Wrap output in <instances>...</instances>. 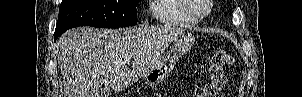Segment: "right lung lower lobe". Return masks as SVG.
<instances>
[{
  "label": "right lung lower lobe",
  "instance_id": "obj_1",
  "mask_svg": "<svg viewBox=\"0 0 302 97\" xmlns=\"http://www.w3.org/2000/svg\"><path fill=\"white\" fill-rule=\"evenodd\" d=\"M59 35H61V33H58V32H55V34H54V40H56L58 37H59Z\"/></svg>",
  "mask_w": 302,
  "mask_h": 97
}]
</instances>
